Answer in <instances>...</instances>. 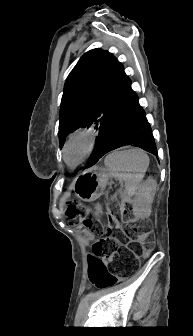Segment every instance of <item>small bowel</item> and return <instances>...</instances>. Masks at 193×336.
<instances>
[{"mask_svg":"<svg viewBox=\"0 0 193 336\" xmlns=\"http://www.w3.org/2000/svg\"><path fill=\"white\" fill-rule=\"evenodd\" d=\"M92 262H93V259L92 257L89 258V262H88V272L90 274V271H91V268H92Z\"/></svg>","mask_w":193,"mask_h":336,"instance_id":"c3829d8e","label":"small bowel"}]
</instances>
